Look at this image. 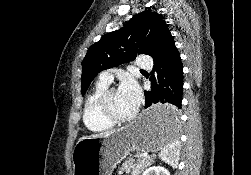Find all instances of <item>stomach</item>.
<instances>
[{
  "mask_svg": "<svg viewBox=\"0 0 251 175\" xmlns=\"http://www.w3.org/2000/svg\"><path fill=\"white\" fill-rule=\"evenodd\" d=\"M171 111H178V106L154 105L107 137L81 139L72 151L73 175H111L130 151L139 149L141 154H150L166 141H177V136L165 134H178V129H163L181 128L180 114Z\"/></svg>",
  "mask_w": 251,
  "mask_h": 175,
  "instance_id": "1",
  "label": "stomach"
}]
</instances>
